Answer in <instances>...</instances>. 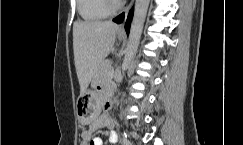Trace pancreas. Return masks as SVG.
<instances>
[{
  "mask_svg": "<svg viewBox=\"0 0 243 145\" xmlns=\"http://www.w3.org/2000/svg\"><path fill=\"white\" fill-rule=\"evenodd\" d=\"M113 76V68L110 65L109 61H104L99 67L97 77L99 79H110Z\"/></svg>",
  "mask_w": 243,
  "mask_h": 145,
  "instance_id": "cf45deb5",
  "label": "pancreas"
}]
</instances>
